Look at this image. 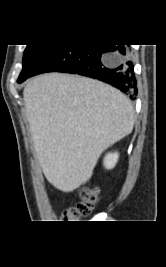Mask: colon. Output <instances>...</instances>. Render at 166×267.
<instances>
[{
    "mask_svg": "<svg viewBox=\"0 0 166 267\" xmlns=\"http://www.w3.org/2000/svg\"><path fill=\"white\" fill-rule=\"evenodd\" d=\"M81 200L76 206L68 208L64 214L63 222H78L81 217L90 215L100 201L99 191L95 187H85L80 192Z\"/></svg>",
    "mask_w": 166,
    "mask_h": 267,
    "instance_id": "1",
    "label": "colon"
}]
</instances>
